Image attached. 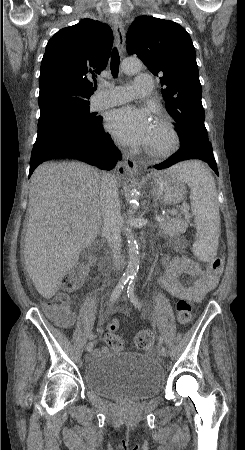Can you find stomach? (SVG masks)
Returning <instances> with one entry per match:
<instances>
[{"label": "stomach", "mask_w": 245, "mask_h": 450, "mask_svg": "<svg viewBox=\"0 0 245 450\" xmlns=\"http://www.w3.org/2000/svg\"><path fill=\"white\" fill-rule=\"evenodd\" d=\"M185 181L175 173L167 171L155 172L150 178V188L153 196L166 205L180 203L187 194Z\"/></svg>", "instance_id": "0dacf381"}]
</instances>
